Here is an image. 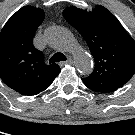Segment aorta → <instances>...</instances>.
I'll list each match as a JSON object with an SVG mask.
<instances>
[{"instance_id":"obj_1","label":"aorta","mask_w":135,"mask_h":135,"mask_svg":"<svg viewBox=\"0 0 135 135\" xmlns=\"http://www.w3.org/2000/svg\"><path fill=\"white\" fill-rule=\"evenodd\" d=\"M46 38L52 48L69 52L72 55L75 67L80 73L88 75L92 72L93 61L91 56L77 45L68 29L61 26H53L47 31Z\"/></svg>"}]
</instances>
